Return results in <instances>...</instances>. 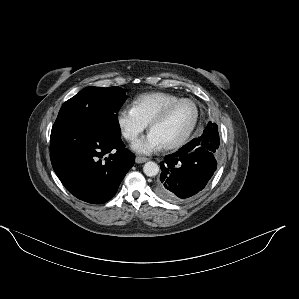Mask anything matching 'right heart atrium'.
Returning <instances> with one entry per match:
<instances>
[{
	"instance_id": "obj_1",
	"label": "right heart atrium",
	"mask_w": 299,
	"mask_h": 299,
	"mask_svg": "<svg viewBox=\"0 0 299 299\" xmlns=\"http://www.w3.org/2000/svg\"><path fill=\"white\" fill-rule=\"evenodd\" d=\"M116 124L122 137L129 142L135 141L147 128L132 107H123L117 112Z\"/></svg>"
}]
</instances>
